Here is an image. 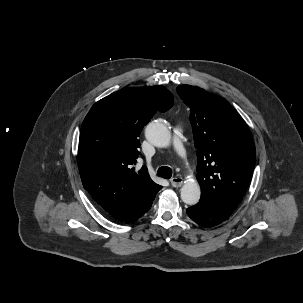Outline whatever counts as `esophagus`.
Segmentation results:
<instances>
[{
	"instance_id": "obj_1",
	"label": "esophagus",
	"mask_w": 303,
	"mask_h": 303,
	"mask_svg": "<svg viewBox=\"0 0 303 303\" xmlns=\"http://www.w3.org/2000/svg\"><path fill=\"white\" fill-rule=\"evenodd\" d=\"M170 182H171V185H172L173 187L178 188V187H181V186L183 185V178H182V177H179V176H176V177H173V178L170 180Z\"/></svg>"
}]
</instances>
